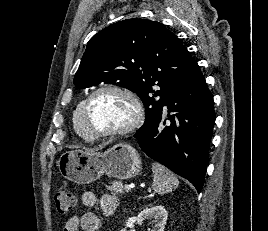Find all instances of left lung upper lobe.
<instances>
[{
	"mask_svg": "<svg viewBox=\"0 0 268 231\" xmlns=\"http://www.w3.org/2000/svg\"><path fill=\"white\" fill-rule=\"evenodd\" d=\"M196 63L165 25L127 19L104 28L90 39L74 85L88 88L104 82L135 92L146 108V119L139 129L144 131L162 113L173 85L187 76ZM156 86L160 90H155Z\"/></svg>",
	"mask_w": 268,
	"mask_h": 231,
	"instance_id": "left-lung-upper-lobe-1",
	"label": "left lung upper lobe"
}]
</instances>
